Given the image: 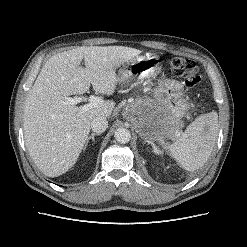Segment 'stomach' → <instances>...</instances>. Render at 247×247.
<instances>
[{"label":"stomach","mask_w":247,"mask_h":247,"mask_svg":"<svg viewBox=\"0 0 247 247\" xmlns=\"http://www.w3.org/2000/svg\"><path fill=\"white\" fill-rule=\"evenodd\" d=\"M160 71L158 57L136 56L123 63L118 79L123 84L142 83L155 78ZM136 106L132 123L146 140L174 137L175 129L189 110L182 83L173 79L159 80L153 89V99L138 100Z\"/></svg>","instance_id":"obj_1"}]
</instances>
